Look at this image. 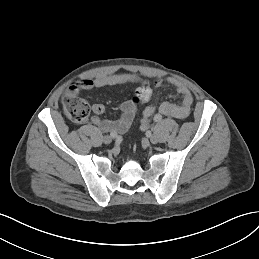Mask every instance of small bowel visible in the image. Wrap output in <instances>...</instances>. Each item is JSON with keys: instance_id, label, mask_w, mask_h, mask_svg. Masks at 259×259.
<instances>
[{"instance_id": "1", "label": "small bowel", "mask_w": 259, "mask_h": 259, "mask_svg": "<svg viewBox=\"0 0 259 259\" xmlns=\"http://www.w3.org/2000/svg\"><path fill=\"white\" fill-rule=\"evenodd\" d=\"M141 79L135 74L123 73L109 76H102L96 79H87L76 84H72L68 90L67 95L76 96L79 91H89L99 89L107 86H119L129 85L140 82ZM167 82L176 88L178 95L181 97V103L175 104L172 102H163L159 106V112L166 116L183 119L186 118L191 111V105L193 103V96L190 90L184 86L180 81L170 78ZM144 83L150 84L148 81ZM164 85L163 80H155L153 87L160 88ZM92 111L96 114H102L106 111V107L103 104H93ZM122 115L117 120L100 119L97 116L91 118V122L97 125L101 130L105 132H115L118 134L125 133L132 124V121L136 114V104L132 100L125 101L121 104ZM155 113V107L153 105L147 106L143 110V115L140 121L142 129H147L150 125L151 117Z\"/></svg>"}]
</instances>
